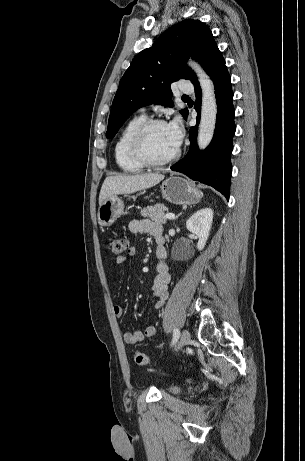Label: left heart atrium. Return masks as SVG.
<instances>
[{
  "mask_svg": "<svg viewBox=\"0 0 305 461\" xmlns=\"http://www.w3.org/2000/svg\"><path fill=\"white\" fill-rule=\"evenodd\" d=\"M168 133L173 144L178 148L183 139V129L178 119L167 124Z\"/></svg>",
  "mask_w": 305,
  "mask_h": 461,
  "instance_id": "left-heart-atrium-1",
  "label": "left heart atrium"
}]
</instances>
